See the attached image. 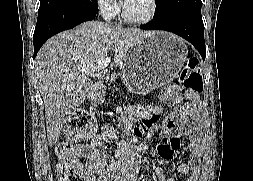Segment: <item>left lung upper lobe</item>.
<instances>
[{
    "instance_id": "1",
    "label": "left lung upper lobe",
    "mask_w": 253,
    "mask_h": 181,
    "mask_svg": "<svg viewBox=\"0 0 253 181\" xmlns=\"http://www.w3.org/2000/svg\"><path fill=\"white\" fill-rule=\"evenodd\" d=\"M180 11H201V0H157L154 19Z\"/></svg>"
}]
</instances>
